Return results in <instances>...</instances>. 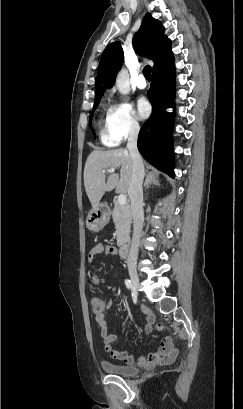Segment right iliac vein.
I'll use <instances>...</instances> for the list:
<instances>
[{
	"instance_id": "obj_1",
	"label": "right iliac vein",
	"mask_w": 243,
	"mask_h": 409,
	"mask_svg": "<svg viewBox=\"0 0 243 409\" xmlns=\"http://www.w3.org/2000/svg\"><path fill=\"white\" fill-rule=\"evenodd\" d=\"M130 279L133 285L134 290L137 292L139 288V277L135 269H129Z\"/></svg>"
}]
</instances>
